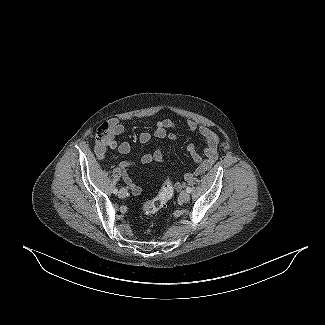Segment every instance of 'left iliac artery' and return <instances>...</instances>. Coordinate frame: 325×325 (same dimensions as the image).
Returning a JSON list of instances; mask_svg holds the SVG:
<instances>
[{"mask_svg":"<svg viewBox=\"0 0 325 325\" xmlns=\"http://www.w3.org/2000/svg\"><path fill=\"white\" fill-rule=\"evenodd\" d=\"M191 191H192V190H191L190 187H187V188H186V192L190 193Z\"/></svg>","mask_w":325,"mask_h":325,"instance_id":"left-iliac-artery-1","label":"left iliac artery"}]
</instances>
